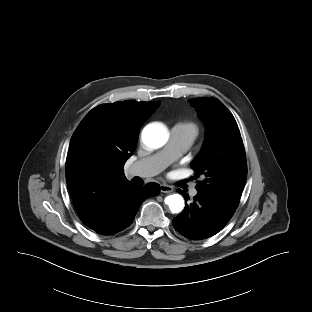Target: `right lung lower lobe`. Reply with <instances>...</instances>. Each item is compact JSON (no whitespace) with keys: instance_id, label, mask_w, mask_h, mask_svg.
<instances>
[{"instance_id":"obj_1","label":"right lung lower lobe","mask_w":312,"mask_h":312,"mask_svg":"<svg viewBox=\"0 0 312 312\" xmlns=\"http://www.w3.org/2000/svg\"><path fill=\"white\" fill-rule=\"evenodd\" d=\"M159 192L160 187L156 183L145 186L128 183L94 219L84 224L101 235L115 234L133 222L140 205L146 198L156 196Z\"/></svg>"}]
</instances>
